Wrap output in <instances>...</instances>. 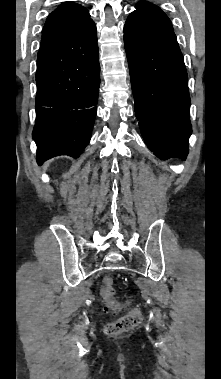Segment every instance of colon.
<instances>
[{
    "instance_id": "obj_1",
    "label": "colon",
    "mask_w": 221,
    "mask_h": 379,
    "mask_svg": "<svg viewBox=\"0 0 221 379\" xmlns=\"http://www.w3.org/2000/svg\"><path fill=\"white\" fill-rule=\"evenodd\" d=\"M100 295L105 309L113 314L120 313L123 305L115 297L113 280L105 277L102 281ZM141 313L137 308H130L122 317L109 323L106 333L111 336L119 335L133 329L140 321Z\"/></svg>"
}]
</instances>
